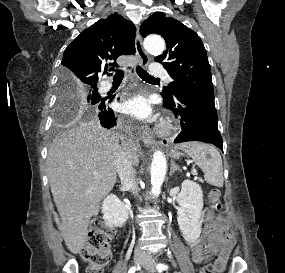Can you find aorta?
I'll use <instances>...</instances> for the list:
<instances>
[{
    "mask_svg": "<svg viewBox=\"0 0 285 273\" xmlns=\"http://www.w3.org/2000/svg\"><path fill=\"white\" fill-rule=\"evenodd\" d=\"M146 50L150 53H162L165 49L164 40L159 36H149L144 41ZM166 158L163 152L160 150L155 151L151 164V193L154 196H158L161 192V186L163 184L166 174Z\"/></svg>",
    "mask_w": 285,
    "mask_h": 273,
    "instance_id": "aorta-1",
    "label": "aorta"
}]
</instances>
